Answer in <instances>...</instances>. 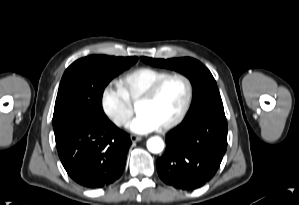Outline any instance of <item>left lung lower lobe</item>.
<instances>
[{
    "mask_svg": "<svg viewBox=\"0 0 299 205\" xmlns=\"http://www.w3.org/2000/svg\"><path fill=\"white\" fill-rule=\"evenodd\" d=\"M224 110L193 120H183L166 135V150L157 159L161 180L174 188L193 190L217 172L227 149Z\"/></svg>",
    "mask_w": 299,
    "mask_h": 205,
    "instance_id": "left-lung-lower-lobe-1",
    "label": "left lung lower lobe"
}]
</instances>
